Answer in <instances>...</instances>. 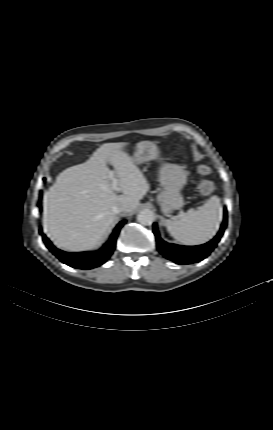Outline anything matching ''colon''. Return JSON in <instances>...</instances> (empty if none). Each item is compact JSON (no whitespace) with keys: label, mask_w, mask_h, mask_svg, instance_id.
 <instances>
[{"label":"colon","mask_w":273,"mask_h":430,"mask_svg":"<svg viewBox=\"0 0 273 430\" xmlns=\"http://www.w3.org/2000/svg\"><path fill=\"white\" fill-rule=\"evenodd\" d=\"M200 177H205L210 173V168L206 165H200L197 169ZM197 190L204 196L211 195L215 190V185L212 181L202 178L197 183Z\"/></svg>","instance_id":"obj_1"}]
</instances>
